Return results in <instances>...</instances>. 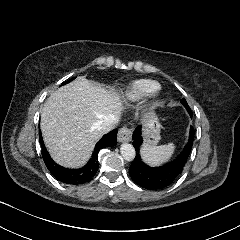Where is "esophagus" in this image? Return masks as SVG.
<instances>
[{
  "mask_svg": "<svg viewBox=\"0 0 240 240\" xmlns=\"http://www.w3.org/2000/svg\"><path fill=\"white\" fill-rule=\"evenodd\" d=\"M132 137V131L130 128L124 126L122 127L119 131H118V141L119 142H126V141H130Z\"/></svg>",
  "mask_w": 240,
  "mask_h": 240,
  "instance_id": "obj_1",
  "label": "esophagus"
}]
</instances>
